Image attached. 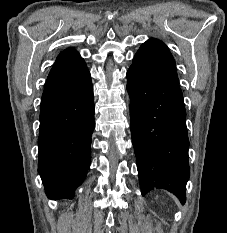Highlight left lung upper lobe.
I'll list each match as a JSON object with an SVG mask.
<instances>
[{
    "label": "left lung upper lobe",
    "mask_w": 227,
    "mask_h": 233,
    "mask_svg": "<svg viewBox=\"0 0 227 233\" xmlns=\"http://www.w3.org/2000/svg\"><path fill=\"white\" fill-rule=\"evenodd\" d=\"M130 68L157 81L179 87L175 60L168 47L160 40L151 38L143 43Z\"/></svg>",
    "instance_id": "obj_1"
}]
</instances>
